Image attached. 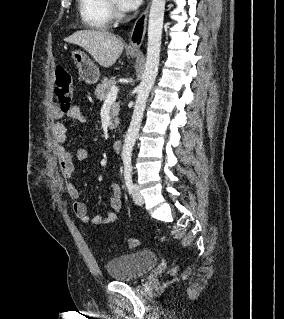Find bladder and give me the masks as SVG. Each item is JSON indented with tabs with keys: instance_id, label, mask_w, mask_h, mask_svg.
Listing matches in <instances>:
<instances>
[{
	"instance_id": "obj_1",
	"label": "bladder",
	"mask_w": 284,
	"mask_h": 319,
	"mask_svg": "<svg viewBox=\"0 0 284 319\" xmlns=\"http://www.w3.org/2000/svg\"><path fill=\"white\" fill-rule=\"evenodd\" d=\"M158 256L151 250H140L110 259L106 263L109 277L115 281H134L153 269Z\"/></svg>"
}]
</instances>
